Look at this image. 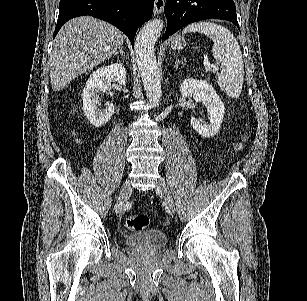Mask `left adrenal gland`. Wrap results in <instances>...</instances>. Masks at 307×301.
Wrapping results in <instances>:
<instances>
[{"label": "left adrenal gland", "mask_w": 307, "mask_h": 301, "mask_svg": "<svg viewBox=\"0 0 307 301\" xmlns=\"http://www.w3.org/2000/svg\"><path fill=\"white\" fill-rule=\"evenodd\" d=\"M180 62H181V64H184V62H182V60H179V58H176V60H175V62H174L175 68H178Z\"/></svg>", "instance_id": "obj_1"}]
</instances>
